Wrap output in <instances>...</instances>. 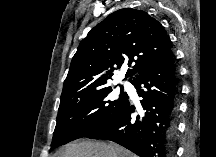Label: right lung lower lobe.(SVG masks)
Segmentation results:
<instances>
[{
  "mask_svg": "<svg viewBox=\"0 0 216 157\" xmlns=\"http://www.w3.org/2000/svg\"><path fill=\"white\" fill-rule=\"evenodd\" d=\"M131 83L142 97L141 113L132 115L135 107L127 100L111 121L86 137L116 142L139 157H173L180 96L173 52Z\"/></svg>",
  "mask_w": 216,
  "mask_h": 157,
  "instance_id": "98d812e1",
  "label": "right lung lower lobe"
}]
</instances>
